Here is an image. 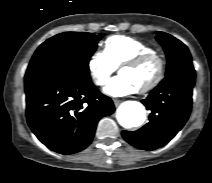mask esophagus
<instances>
[{
	"label": "esophagus",
	"instance_id": "1",
	"mask_svg": "<svg viewBox=\"0 0 212 183\" xmlns=\"http://www.w3.org/2000/svg\"><path fill=\"white\" fill-rule=\"evenodd\" d=\"M113 102H114V105H115V106H118V105L121 103V100H119V99H114Z\"/></svg>",
	"mask_w": 212,
	"mask_h": 183
}]
</instances>
